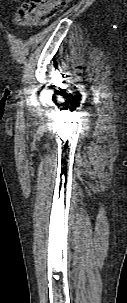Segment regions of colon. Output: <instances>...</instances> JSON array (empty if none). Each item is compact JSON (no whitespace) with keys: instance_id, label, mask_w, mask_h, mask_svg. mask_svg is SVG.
Listing matches in <instances>:
<instances>
[{"instance_id":"5ec220e1","label":"colon","mask_w":127,"mask_h":303,"mask_svg":"<svg viewBox=\"0 0 127 303\" xmlns=\"http://www.w3.org/2000/svg\"><path fill=\"white\" fill-rule=\"evenodd\" d=\"M69 0H29L18 11V20L23 24L44 23L46 19L64 10Z\"/></svg>"}]
</instances>
